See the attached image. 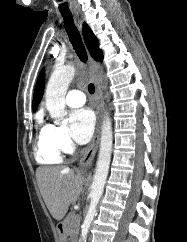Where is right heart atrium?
Returning a JSON list of instances; mask_svg holds the SVG:
<instances>
[{"instance_id": "d8ad5b80", "label": "right heart atrium", "mask_w": 187, "mask_h": 242, "mask_svg": "<svg viewBox=\"0 0 187 242\" xmlns=\"http://www.w3.org/2000/svg\"><path fill=\"white\" fill-rule=\"evenodd\" d=\"M50 139L53 145L62 152H70L73 143L63 125L50 124Z\"/></svg>"}]
</instances>
